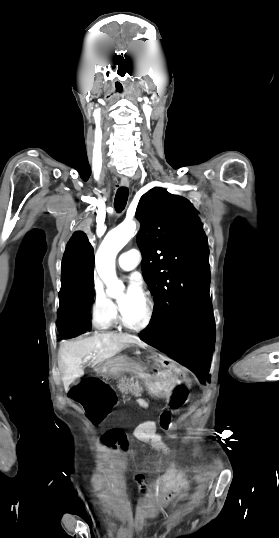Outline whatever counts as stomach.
Wrapping results in <instances>:
<instances>
[{
	"label": "stomach",
	"instance_id": "obj_1",
	"mask_svg": "<svg viewBox=\"0 0 279 538\" xmlns=\"http://www.w3.org/2000/svg\"><path fill=\"white\" fill-rule=\"evenodd\" d=\"M173 375L174 376H180L181 375V370L180 369H174L173 370ZM164 385H165L164 380H162V379L157 380L156 386L151 385L149 387L150 393L152 395H159L161 393V389H162V387H164ZM167 393H171V390H167ZM167 397H170V394H167Z\"/></svg>",
	"mask_w": 279,
	"mask_h": 538
}]
</instances>
